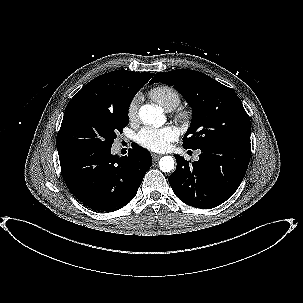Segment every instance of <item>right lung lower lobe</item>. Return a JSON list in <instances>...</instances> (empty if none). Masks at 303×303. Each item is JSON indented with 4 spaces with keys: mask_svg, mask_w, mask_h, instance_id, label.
I'll use <instances>...</instances> for the list:
<instances>
[{
    "mask_svg": "<svg viewBox=\"0 0 303 303\" xmlns=\"http://www.w3.org/2000/svg\"><path fill=\"white\" fill-rule=\"evenodd\" d=\"M63 179L70 192L95 211H115L136 195L152 165L148 150L134 145L127 156L111 148L93 153L59 156Z\"/></svg>",
    "mask_w": 303,
    "mask_h": 303,
    "instance_id": "1",
    "label": "right lung lower lobe"
}]
</instances>
